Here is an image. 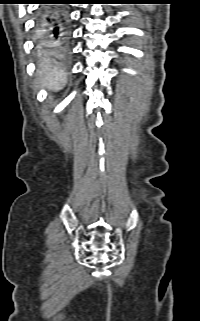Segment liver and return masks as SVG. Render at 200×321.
<instances>
[{
	"label": "liver",
	"mask_w": 200,
	"mask_h": 321,
	"mask_svg": "<svg viewBox=\"0 0 200 321\" xmlns=\"http://www.w3.org/2000/svg\"><path fill=\"white\" fill-rule=\"evenodd\" d=\"M38 76L43 86L55 91L62 89L67 79L66 73L58 66H53L50 59L40 62Z\"/></svg>",
	"instance_id": "liver-1"
}]
</instances>
